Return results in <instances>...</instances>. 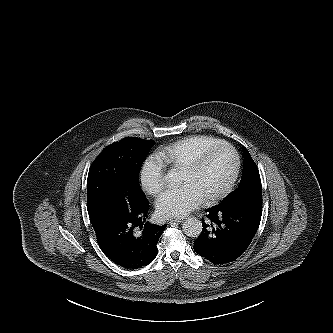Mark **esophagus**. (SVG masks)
Returning <instances> with one entry per match:
<instances>
[{
    "label": "esophagus",
    "instance_id": "esophagus-1",
    "mask_svg": "<svg viewBox=\"0 0 333 333\" xmlns=\"http://www.w3.org/2000/svg\"><path fill=\"white\" fill-rule=\"evenodd\" d=\"M182 222V219H178V218H172V219H169L168 220V223L169 224H172V223H180Z\"/></svg>",
    "mask_w": 333,
    "mask_h": 333
}]
</instances>
